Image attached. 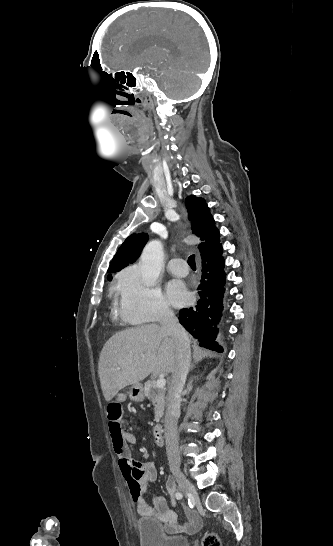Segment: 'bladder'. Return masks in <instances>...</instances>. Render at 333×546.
<instances>
[{
	"label": "bladder",
	"instance_id": "obj_1",
	"mask_svg": "<svg viewBox=\"0 0 333 546\" xmlns=\"http://www.w3.org/2000/svg\"><path fill=\"white\" fill-rule=\"evenodd\" d=\"M136 530L140 546H189L186 536L166 534L163 526L151 518L140 519Z\"/></svg>",
	"mask_w": 333,
	"mask_h": 546
}]
</instances>
